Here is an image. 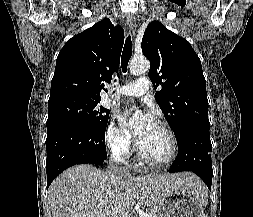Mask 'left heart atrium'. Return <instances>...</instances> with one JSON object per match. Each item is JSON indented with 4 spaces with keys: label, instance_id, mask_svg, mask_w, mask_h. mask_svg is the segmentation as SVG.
Instances as JSON below:
<instances>
[{
    "label": "left heart atrium",
    "instance_id": "obj_1",
    "mask_svg": "<svg viewBox=\"0 0 253 217\" xmlns=\"http://www.w3.org/2000/svg\"><path fill=\"white\" fill-rule=\"evenodd\" d=\"M121 122L130 128H132L135 136L140 140L147 132L156 126V120L154 116L146 112L139 122L132 121V111L126 110L121 115Z\"/></svg>",
    "mask_w": 253,
    "mask_h": 217
}]
</instances>
